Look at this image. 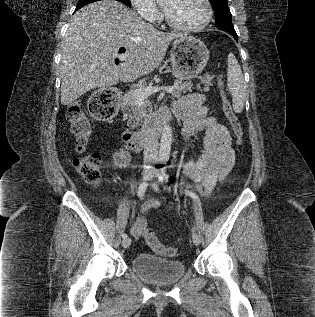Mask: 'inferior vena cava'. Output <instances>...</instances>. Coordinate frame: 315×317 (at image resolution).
<instances>
[{"label":"inferior vena cava","mask_w":315,"mask_h":317,"mask_svg":"<svg viewBox=\"0 0 315 317\" xmlns=\"http://www.w3.org/2000/svg\"><path fill=\"white\" fill-rule=\"evenodd\" d=\"M158 160V139L155 129L151 126L149 118L146 119L144 140V162L148 164L146 170L153 171L151 166Z\"/></svg>","instance_id":"1"}]
</instances>
